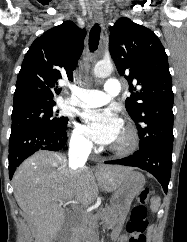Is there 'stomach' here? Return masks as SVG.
I'll return each instance as SVG.
<instances>
[{
	"instance_id": "obj_1",
	"label": "stomach",
	"mask_w": 187,
	"mask_h": 242,
	"mask_svg": "<svg viewBox=\"0 0 187 242\" xmlns=\"http://www.w3.org/2000/svg\"><path fill=\"white\" fill-rule=\"evenodd\" d=\"M144 184V176L132 168L127 171L119 189L113 194L111 198L113 237L119 235L131 203Z\"/></svg>"
}]
</instances>
